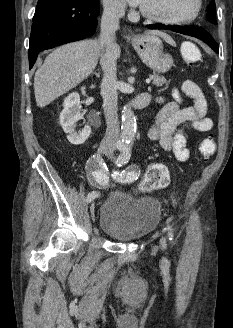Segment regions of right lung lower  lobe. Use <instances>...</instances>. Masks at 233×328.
I'll use <instances>...</instances> for the list:
<instances>
[{
	"instance_id": "obj_1",
	"label": "right lung lower lobe",
	"mask_w": 233,
	"mask_h": 328,
	"mask_svg": "<svg viewBox=\"0 0 233 328\" xmlns=\"http://www.w3.org/2000/svg\"><path fill=\"white\" fill-rule=\"evenodd\" d=\"M98 15V0H39L30 36V69L40 51L93 34Z\"/></svg>"
}]
</instances>
